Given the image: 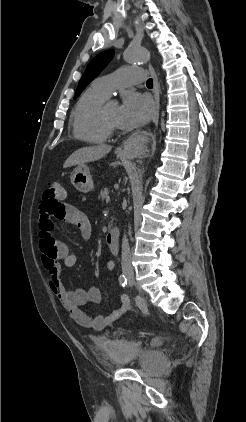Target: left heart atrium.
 <instances>
[{
  "mask_svg": "<svg viewBox=\"0 0 246 422\" xmlns=\"http://www.w3.org/2000/svg\"><path fill=\"white\" fill-rule=\"evenodd\" d=\"M153 114V105L148 97L136 92L124 95L119 110L118 125L132 129L145 124Z\"/></svg>",
  "mask_w": 246,
  "mask_h": 422,
  "instance_id": "1",
  "label": "left heart atrium"
}]
</instances>
